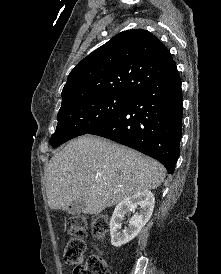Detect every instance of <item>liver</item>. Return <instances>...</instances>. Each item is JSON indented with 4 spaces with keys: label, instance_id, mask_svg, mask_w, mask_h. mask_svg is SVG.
<instances>
[{
    "label": "liver",
    "instance_id": "1",
    "mask_svg": "<svg viewBox=\"0 0 221 274\" xmlns=\"http://www.w3.org/2000/svg\"><path fill=\"white\" fill-rule=\"evenodd\" d=\"M165 175L159 162L140 152L96 136H81L48 164V205L65 210L82 199L83 213L98 215L138 192L156 189Z\"/></svg>",
    "mask_w": 221,
    "mask_h": 274
}]
</instances>
